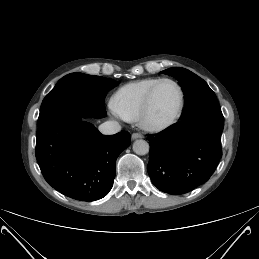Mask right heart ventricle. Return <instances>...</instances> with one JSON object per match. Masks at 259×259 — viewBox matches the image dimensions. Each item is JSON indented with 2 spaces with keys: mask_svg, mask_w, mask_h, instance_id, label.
<instances>
[{
  "mask_svg": "<svg viewBox=\"0 0 259 259\" xmlns=\"http://www.w3.org/2000/svg\"><path fill=\"white\" fill-rule=\"evenodd\" d=\"M159 79L152 77L133 81L123 85L116 91L113 97V104L124 120H138L149 89Z\"/></svg>",
  "mask_w": 259,
  "mask_h": 259,
  "instance_id": "right-heart-ventricle-1",
  "label": "right heart ventricle"
}]
</instances>
